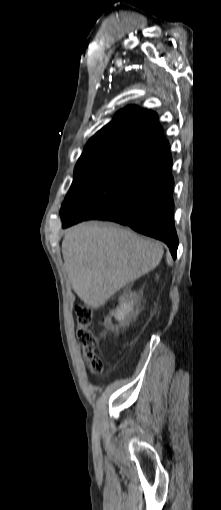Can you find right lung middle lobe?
Returning a JSON list of instances; mask_svg holds the SVG:
<instances>
[{
	"instance_id": "right-lung-middle-lobe-1",
	"label": "right lung middle lobe",
	"mask_w": 221,
	"mask_h": 510,
	"mask_svg": "<svg viewBox=\"0 0 221 510\" xmlns=\"http://www.w3.org/2000/svg\"><path fill=\"white\" fill-rule=\"evenodd\" d=\"M152 152L125 149L79 159L73 183L61 207V217L80 204L91 214L105 213L124 198L135 176Z\"/></svg>"
}]
</instances>
